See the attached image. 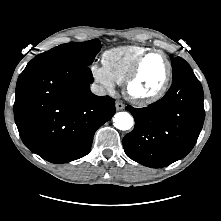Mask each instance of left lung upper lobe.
<instances>
[{"label":"left lung upper lobe","mask_w":221,"mask_h":221,"mask_svg":"<svg viewBox=\"0 0 221 221\" xmlns=\"http://www.w3.org/2000/svg\"><path fill=\"white\" fill-rule=\"evenodd\" d=\"M173 78L172 82H175L183 77L194 75L190 65L181 57L172 59Z\"/></svg>","instance_id":"left-lung-upper-lobe-1"}]
</instances>
